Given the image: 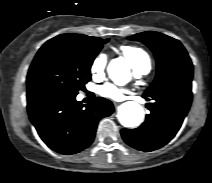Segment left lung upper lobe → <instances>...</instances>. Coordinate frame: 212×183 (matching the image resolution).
<instances>
[{
  "label": "left lung upper lobe",
  "instance_id": "left-lung-upper-lobe-1",
  "mask_svg": "<svg viewBox=\"0 0 212 183\" xmlns=\"http://www.w3.org/2000/svg\"><path fill=\"white\" fill-rule=\"evenodd\" d=\"M128 39L147 45L157 60L155 80L144 92L145 95L171 86L191 84L193 64L178 40L154 31L138 33Z\"/></svg>",
  "mask_w": 212,
  "mask_h": 183
}]
</instances>
